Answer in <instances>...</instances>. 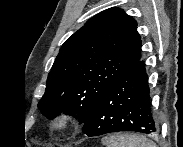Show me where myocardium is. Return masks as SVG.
<instances>
[{
    "label": "myocardium",
    "mask_w": 183,
    "mask_h": 147,
    "mask_svg": "<svg viewBox=\"0 0 183 147\" xmlns=\"http://www.w3.org/2000/svg\"><path fill=\"white\" fill-rule=\"evenodd\" d=\"M54 131L60 134H65L74 127V120L71 114L62 111L56 114L51 121Z\"/></svg>",
    "instance_id": "myocardium-1"
}]
</instances>
